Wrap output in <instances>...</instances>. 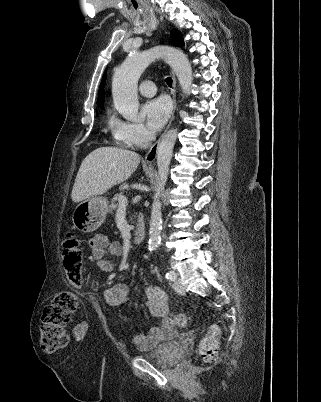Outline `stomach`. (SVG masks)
I'll return each mask as SVG.
<instances>
[{
	"label": "stomach",
	"instance_id": "1",
	"mask_svg": "<svg viewBox=\"0 0 321 402\" xmlns=\"http://www.w3.org/2000/svg\"><path fill=\"white\" fill-rule=\"evenodd\" d=\"M108 213V200L102 196H93L80 202L73 214L72 222L77 230L89 233L98 229Z\"/></svg>",
	"mask_w": 321,
	"mask_h": 402
}]
</instances>
